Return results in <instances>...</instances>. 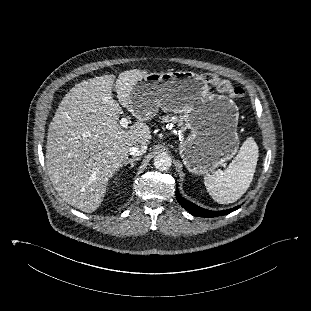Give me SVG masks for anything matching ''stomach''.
<instances>
[{
	"label": "stomach",
	"instance_id": "stomach-1",
	"mask_svg": "<svg viewBox=\"0 0 311 311\" xmlns=\"http://www.w3.org/2000/svg\"><path fill=\"white\" fill-rule=\"evenodd\" d=\"M130 99L133 111L146 120L159 108L182 114L191 133L180 143L179 153L191 173L212 172L238 151V107L228 97L209 92L207 82L194 72L147 74Z\"/></svg>",
	"mask_w": 311,
	"mask_h": 311
}]
</instances>
